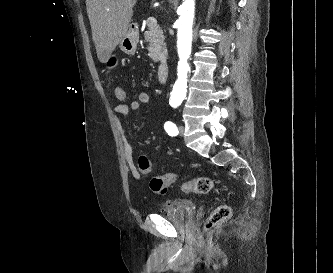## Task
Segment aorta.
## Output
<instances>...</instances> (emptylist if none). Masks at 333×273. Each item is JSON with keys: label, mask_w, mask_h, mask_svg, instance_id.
Returning <instances> with one entry per match:
<instances>
[{"label": "aorta", "mask_w": 333, "mask_h": 273, "mask_svg": "<svg viewBox=\"0 0 333 273\" xmlns=\"http://www.w3.org/2000/svg\"><path fill=\"white\" fill-rule=\"evenodd\" d=\"M178 11L177 20V50L179 55L178 79L171 93V102L180 104L187 91V74L190 69L188 59L192 47V27L195 16V0H183Z\"/></svg>", "instance_id": "1"}]
</instances>
